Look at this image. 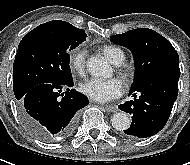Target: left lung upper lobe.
<instances>
[{"instance_id": "obj_1", "label": "left lung upper lobe", "mask_w": 190, "mask_h": 165, "mask_svg": "<svg viewBox=\"0 0 190 165\" xmlns=\"http://www.w3.org/2000/svg\"><path fill=\"white\" fill-rule=\"evenodd\" d=\"M111 41L127 47L134 56L136 75L132 88L159 74L180 75L177 51L166 38L151 29H133L111 36Z\"/></svg>"}]
</instances>
